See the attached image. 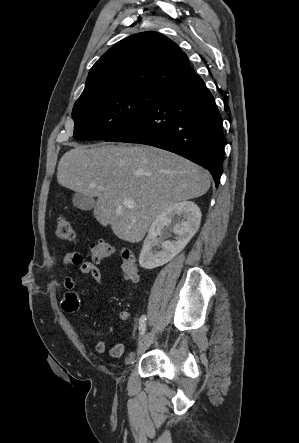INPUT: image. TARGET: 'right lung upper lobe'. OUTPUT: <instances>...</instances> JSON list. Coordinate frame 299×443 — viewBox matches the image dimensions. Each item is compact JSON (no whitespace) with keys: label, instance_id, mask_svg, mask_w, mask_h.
<instances>
[{"label":"right lung upper lobe","instance_id":"1","mask_svg":"<svg viewBox=\"0 0 299 443\" xmlns=\"http://www.w3.org/2000/svg\"><path fill=\"white\" fill-rule=\"evenodd\" d=\"M195 74L175 42L156 32L131 35L111 47L91 68L78 100L122 88L165 90Z\"/></svg>","mask_w":299,"mask_h":443}]
</instances>
